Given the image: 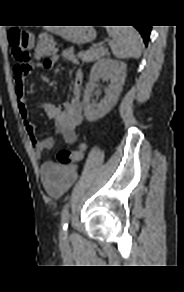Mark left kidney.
Here are the masks:
<instances>
[{
	"instance_id": "5707ae66",
	"label": "left kidney",
	"mask_w": 184,
	"mask_h": 292,
	"mask_svg": "<svg viewBox=\"0 0 184 292\" xmlns=\"http://www.w3.org/2000/svg\"><path fill=\"white\" fill-rule=\"evenodd\" d=\"M126 68L125 63L110 58L100 59L93 65L83 97L84 115L87 121L94 122L113 108L125 82ZM102 76L110 80L109 86L105 89V96L99 103L91 102L90 98L97 86L96 82Z\"/></svg>"
}]
</instances>
